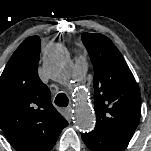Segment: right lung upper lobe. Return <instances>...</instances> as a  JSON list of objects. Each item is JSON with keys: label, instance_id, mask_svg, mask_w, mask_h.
I'll return each mask as SVG.
<instances>
[{"label": "right lung upper lobe", "instance_id": "right-lung-upper-lobe-1", "mask_svg": "<svg viewBox=\"0 0 151 151\" xmlns=\"http://www.w3.org/2000/svg\"><path fill=\"white\" fill-rule=\"evenodd\" d=\"M41 41L25 39L0 77V129L17 151H50L68 125L38 76Z\"/></svg>", "mask_w": 151, "mask_h": 151}]
</instances>
